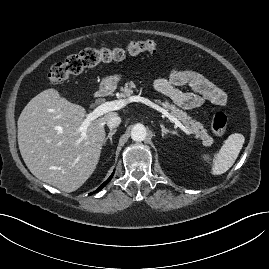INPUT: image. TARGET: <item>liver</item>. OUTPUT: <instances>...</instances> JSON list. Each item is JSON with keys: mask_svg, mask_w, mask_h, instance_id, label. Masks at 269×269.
<instances>
[{"mask_svg": "<svg viewBox=\"0 0 269 269\" xmlns=\"http://www.w3.org/2000/svg\"><path fill=\"white\" fill-rule=\"evenodd\" d=\"M109 112L93 120L83 136L86 110L53 88L32 98L18 118V145L30 172L70 193L81 187L98 164Z\"/></svg>", "mask_w": 269, "mask_h": 269, "instance_id": "liver-1", "label": "liver"}]
</instances>
